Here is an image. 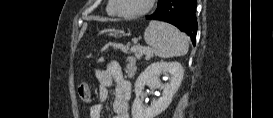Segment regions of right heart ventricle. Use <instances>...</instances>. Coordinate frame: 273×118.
I'll list each match as a JSON object with an SVG mask.
<instances>
[{
    "label": "right heart ventricle",
    "instance_id": "1",
    "mask_svg": "<svg viewBox=\"0 0 273 118\" xmlns=\"http://www.w3.org/2000/svg\"><path fill=\"white\" fill-rule=\"evenodd\" d=\"M106 11H107V13H108L109 15H111V16H114V15H115V11H114V9H113V7H112V2H111V1L109 2L108 6H107V8H106Z\"/></svg>",
    "mask_w": 273,
    "mask_h": 118
}]
</instances>
